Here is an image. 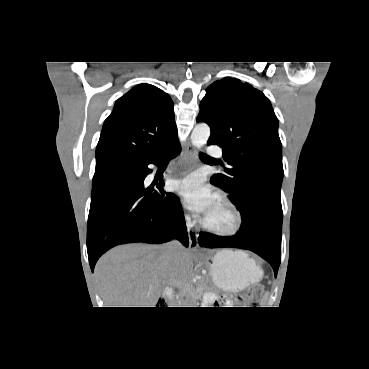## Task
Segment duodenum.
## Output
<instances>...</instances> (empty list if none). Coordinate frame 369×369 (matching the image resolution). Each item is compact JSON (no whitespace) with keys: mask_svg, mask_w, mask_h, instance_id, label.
<instances>
[{"mask_svg":"<svg viewBox=\"0 0 369 369\" xmlns=\"http://www.w3.org/2000/svg\"><path fill=\"white\" fill-rule=\"evenodd\" d=\"M174 292L172 288H166L163 293V298L165 301L170 302L173 299Z\"/></svg>","mask_w":369,"mask_h":369,"instance_id":"obj_1","label":"duodenum"}]
</instances>
